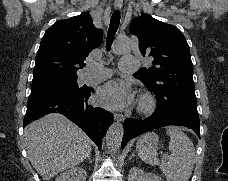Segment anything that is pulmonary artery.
I'll return each mask as SVG.
<instances>
[{
	"instance_id": "pulmonary-artery-1",
	"label": "pulmonary artery",
	"mask_w": 228,
	"mask_h": 181,
	"mask_svg": "<svg viewBox=\"0 0 228 181\" xmlns=\"http://www.w3.org/2000/svg\"><path fill=\"white\" fill-rule=\"evenodd\" d=\"M120 70L121 71H133V67L136 66L135 57H120ZM138 60V59H136ZM104 74H90V77H86V81H91L92 79H112L113 75L108 74L109 69L103 68Z\"/></svg>"
}]
</instances>
